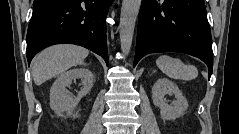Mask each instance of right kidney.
<instances>
[{
    "label": "right kidney",
    "instance_id": "1",
    "mask_svg": "<svg viewBox=\"0 0 239 134\" xmlns=\"http://www.w3.org/2000/svg\"><path fill=\"white\" fill-rule=\"evenodd\" d=\"M80 79L83 87L77 97L70 95L67 87H70L73 80ZM94 76L86 68H75L62 73L50 89V106L57 114L66 111L72 113L80 99L87 95L93 87Z\"/></svg>",
    "mask_w": 239,
    "mask_h": 134
}]
</instances>
